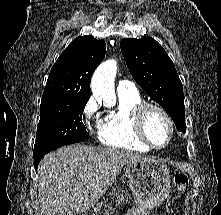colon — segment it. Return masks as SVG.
Returning <instances> with one entry per match:
<instances>
[{
  "instance_id": "5ec220e1",
  "label": "colon",
  "mask_w": 221,
  "mask_h": 215,
  "mask_svg": "<svg viewBox=\"0 0 221 215\" xmlns=\"http://www.w3.org/2000/svg\"><path fill=\"white\" fill-rule=\"evenodd\" d=\"M174 182L179 190V192H183L189 182L188 173L183 169H178L174 174Z\"/></svg>"
}]
</instances>
